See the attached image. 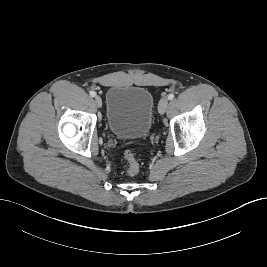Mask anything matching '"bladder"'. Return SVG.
I'll list each match as a JSON object with an SVG mask.
<instances>
[{
    "label": "bladder",
    "mask_w": 267,
    "mask_h": 267,
    "mask_svg": "<svg viewBox=\"0 0 267 267\" xmlns=\"http://www.w3.org/2000/svg\"><path fill=\"white\" fill-rule=\"evenodd\" d=\"M154 99L139 86H112L106 94V126L124 139L146 137L152 127Z\"/></svg>",
    "instance_id": "1"
}]
</instances>
